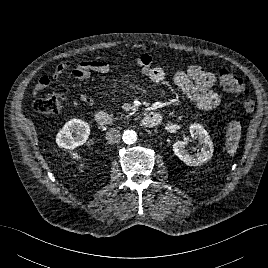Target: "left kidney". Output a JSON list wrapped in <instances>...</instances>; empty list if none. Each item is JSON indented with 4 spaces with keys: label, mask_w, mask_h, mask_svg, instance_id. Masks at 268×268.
<instances>
[{
    "label": "left kidney",
    "mask_w": 268,
    "mask_h": 268,
    "mask_svg": "<svg viewBox=\"0 0 268 268\" xmlns=\"http://www.w3.org/2000/svg\"><path fill=\"white\" fill-rule=\"evenodd\" d=\"M190 134L192 138L198 139L201 144V152L190 154L186 149L188 145L187 141H176L173 144V152L185 164L189 166H199L211 159L214 151L213 143L208 132L198 123H194L190 126Z\"/></svg>",
    "instance_id": "5707ae66"
}]
</instances>
